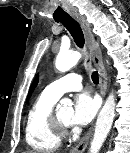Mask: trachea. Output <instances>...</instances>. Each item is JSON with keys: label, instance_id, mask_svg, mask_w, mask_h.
Masks as SVG:
<instances>
[{"label": "trachea", "instance_id": "1", "mask_svg": "<svg viewBox=\"0 0 130 153\" xmlns=\"http://www.w3.org/2000/svg\"><path fill=\"white\" fill-rule=\"evenodd\" d=\"M56 22L62 23L67 28V30L70 32L71 36L74 38L76 45L79 48L84 47V35L79 23L76 20H74L71 16H66L57 19ZM91 77L94 84L99 83V77L97 71L92 72Z\"/></svg>", "mask_w": 130, "mask_h": 153}]
</instances>
